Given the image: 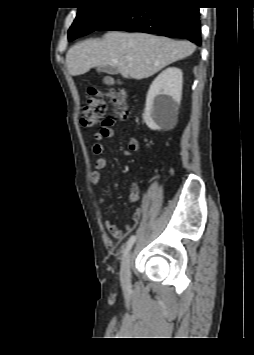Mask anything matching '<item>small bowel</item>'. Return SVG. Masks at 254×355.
Instances as JSON below:
<instances>
[{
    "instance_id": "obj_1",
    "label": "small bowel",
    "mask_w": 254,
    "mask_h": 355,
    "mask_svg": "<svg viewBox=\"0 0 254 355\" xmlns=\"http://www.w3.org/2000/svg\"><path fill=\"white\" fill-rule=\"evenodd\" d=\"M116 122L114 119L108 118L103 121V126L97 131L93 138L94 143L92 150L94 154L99 157L95 161V170L90 175V181L93 186H98L101 182V170L105 169L107 166V161L104 157L100 156L104 152V146L102 141L105 139H110L115 135V126ZM139 143L137 139L130 138L128 143V149L123 151V155L126 157H131L133 153L138 149ZM128 201L131 205L136 204L139 201V186L137 183H132L129 188ZM100 202L104 203L105 198L100 197ZM143 209H137L133 216V221L125 226V229L122 230L115 224L111 223L109 219H106L104 224L111 236L117 240H122L125 235L132 230H134L143 216Z\"/></svg>"
}]
</instances>
